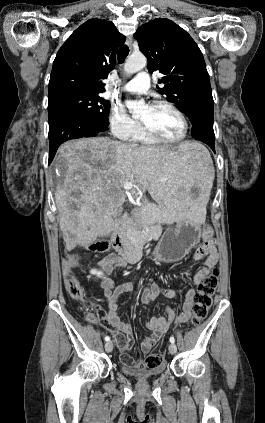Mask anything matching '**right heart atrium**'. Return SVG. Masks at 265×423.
I'll use <instances>...</instances> for the list:
<instances>
[{"label": "right heart atrium", "mask_w": 265, "mask_h": 423, "mask_svg": "<svg viewBox=\"0 0 265 423\" xmlns=\"http://www.w3.org/2000/svg\"><path fill=\"white\" fill-rule=\"evenodd\" d=\"M109 123L114 136L125 141L131 140L140 127L139 123L130 118L119 105L112 106Z\"/></svg>", "instance_id": "1"}]
</instances>
